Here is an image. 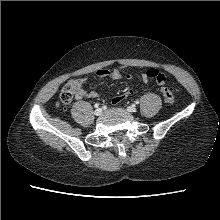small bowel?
Masks as SVG:
<instances>
[{"mask_svg": "<svg viewBox=\"0 0 220 220\" xmlns=\"http://www.w3.org/2000/svg\"><path fill=\"white\" fill-rule=\"evenodd\" d=\"M121 70L120 69H113V70H107V69H100L97 71V76L98 77H109L114 80H119L121 78ZM142 80L144 82L148 81V78L145 76V74L142 75ZM86 83L85 78H76L70 80V84L74 88L75 96L77 99H82L84 97H89V98H95L98 96V93L95 90H86L84 85ZM127 95L125 94H120L115 96L112 99V103L117 105L121 103L123 100H125Z\"/></svg>", "mask_w": 220, "mask_h": 220, "instance_id": "obj_1", "label": "small bowel"}]
</instances>
